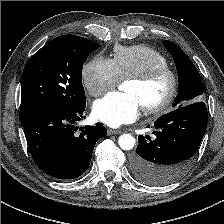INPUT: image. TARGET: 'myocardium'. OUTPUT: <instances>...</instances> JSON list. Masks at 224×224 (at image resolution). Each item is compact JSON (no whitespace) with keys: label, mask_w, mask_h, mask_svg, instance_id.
Instances as JSON below:
<instances>
[{"label":"myocardium","mask_w":224,"mask_h":224,"mask_svg":"<svg viewBox=\"0 0 224 224\" xmlns=\"http://www.w3.org/2000/svg\"><path fill=\"white\" fill-rule=\"evenodd\" d=\"M162 76H167L169 80L168 91L160 101L145 105L143 109L146 113L162 112L174 102L179 90L178 73L173 68L166 65L152 68L142 74L135 75L127 79L131 82L148 84Z\"/></svg>","instance_id":"myocardium-1"}]
</instances>
